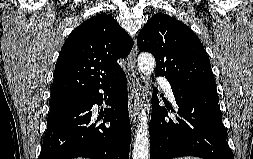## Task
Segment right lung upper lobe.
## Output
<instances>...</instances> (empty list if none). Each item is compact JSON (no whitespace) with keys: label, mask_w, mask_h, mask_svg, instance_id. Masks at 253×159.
Returning a JSON list of instances; mask_svg holds the SVG:
<instances>
[{"label":"right lung upper lobe","mask_w":253,"mask_h":159,"mask_svg":"<svg viewBox=\"0 0 253 159\" xmlns=\"http://www.w3.org/2000/svg\"><path fill=\"white\" fill-rule=\"evenodd\" d=\"M132 46V38L109 14L83 22L61 49L50 102L85 97L112 81L122 72L117 60L126 57Z\"/></svg>","instance_id":"1"}]
</instances>
